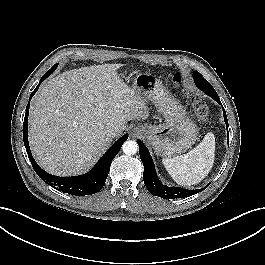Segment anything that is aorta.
Segmentation results:
<instances>
[{"mask_svg": "<svg viewBox=\"0 0 265 265\" xmlns=\"http://www.w3.org/2000/svg\"><path fill=\"white\" fill-rule=\"evenodd\" d=\"M137 149V142L133 140H127L122 146V150L126 155H134L137 152Z\"/></svg>", "mask_w": 265, "mask_h": 265, "instance_id": "762f6f07", "label": "aorta"}]
</instances>
